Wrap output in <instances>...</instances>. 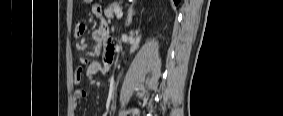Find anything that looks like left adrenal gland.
Masks as SVG:
<instances>
[{
	"label": "left adrenal gland",
	"instance_id": "obj_1",
	"mask_svg": "<svg viewBox=\"0 0 283 116\" xmlns=\"http://www.w3.org/2000/svg\"><path fill=\"white\" fill-rule=\"evenodd\" d=\"M134 10H133V5L130 6L129 10H128V15H127V20H126V26H129L132 22V17L134 15Z\"/></svg>",
	"mask_w": 283,
	"mask_h": 116
}]
</instances>
